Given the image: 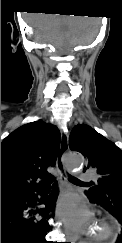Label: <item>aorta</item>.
Wrapping results in <instances>:
<instances>
[{"label":"aorta","mask_w":122,"mask_h":243,"mask_svg":"<svg viewBox=\"0 0 122 243\" xmlns=\"http://www.w3.org/2000/svg\"><path fill=\"white\" fill-rule=\"evenodd\" d=\"M84 159L81 155L78 154H70L66 158V166L70 171H73L75 169H81L83 166ZM84 243V242H80Z\"/></svg>","instance_id":"762f6f07"}]
</instances>
